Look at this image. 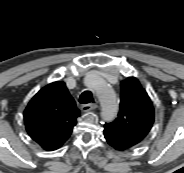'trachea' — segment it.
<instances>
[{
  "label": "trachea",
  "mask_w": 184,
  "mask_h": 173,
  "mask_svg": "<svg viewBox=\"0 0 184 173\" xmlns=\"http://www.w3.org/2000/svg\"><path fill=\"white\" fill-rule=\"evenodd\" d=\"M79 102L81 104L93 103L94 99L92 93L90 91H84L79 97Z\"/></svg>",
  "instance_id": "3493384b"
}]
</instances>
